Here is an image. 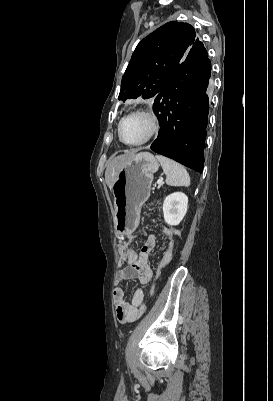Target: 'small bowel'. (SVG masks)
Listing matches in <instances>:
<instances>
[{
	"label": "small bowel",
	"instance_id": "1",
	"mask_svg": "<svg viewBox=\"0 0 273 401\" xmlns=\"http://www.w3.org/2000/svg\"><path fill=\"white\" fill-rule=\"evenodd\" d=\"M165 235L168 240V246L165 251L166 253L169 250L172 251L174 246L172 238L173 231L168 229L166 230ZM130 240L131 236L127 237L125 244L119 248V262H126L128 265L119 269L116 276V281L118 283L127 280H137L138 271H152L148 262V256L156 246L155 237L150 235L142 245L139 252L128 246ZM113 297L116 306V316L121 323L134 322L138 320L146 309L144 304L145 291L142 288L137 289L133 293L131 300L127 301L124 289L118 286L114 290Z\"/></svg>",
	"mask_w": 273,
	"mask_h": 401
}]
</instances>
